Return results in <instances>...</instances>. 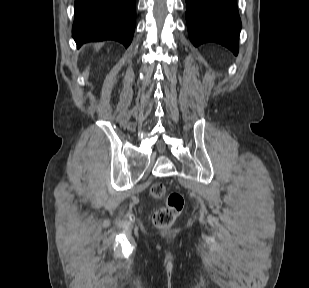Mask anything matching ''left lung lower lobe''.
Masks as SVG:
<instances>
[{
	"mask_svg": "<svg viewBox=\"0 0 309 288\" xmlns=\"http://www.w3.org/2000/svg\"><path fill=\"white\" fill-rule=\"evenodd\" d=\"M186 8L189 38L194 46L216 42L238 54L241 20L237 0H186Z\"/></svg>",
	"mask_w": 309,
	"mask_h": 288,
	"instance_id": "1",
	"label": "left lung lower lobe"
}]
</instances>
